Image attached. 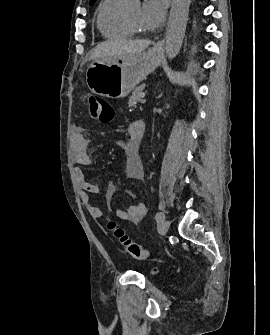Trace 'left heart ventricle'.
Instances as JSON below:
<instances>
[{
  "label": "left heart ventricle",
  "instance_id": "1",
  "mask_svg": "<svg viewBox=\"0 0 270 335\" xmlns=\"http://www.w3.org/2000/svg\"><path fill=\"white\" fill-rule=\"evenodd\" d=\"M125 17L128 19V21L135 29L137 30L140 29L141 8L132 10Z\"/></svg>",
  "mask_w": 270,
  "mask_h": 335
}]
</instances>
